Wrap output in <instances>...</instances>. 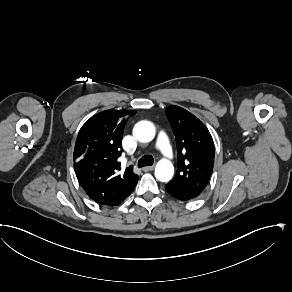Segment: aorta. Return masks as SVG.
Returning <instances> with one entry per match:
<instances>
[{
    "mask_svg": "<svg viewBox=\"0 0 292 292\" xmlns=\"http://www.w3.org/2000/svg\"><path fill=\"white\" fill-rule=\"evenodd\" d=\"M134 135L140 142H149L155 136L154 126L148 121H140L134 127ZM174 174L173 164L167 160H160L155 168V177L161 182L171 180Z\"/></svg>",
    "mask_w": 292,
    "mask_h": 292,
    "instance_id": "aorta-1",
    "label": "aorta"
}]
</instances>
